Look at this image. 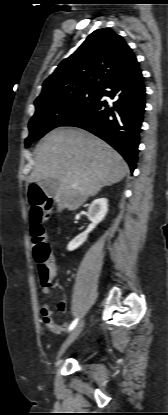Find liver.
Returning <instances> with one entry per match:
<instances>
[{
	"instance_id": "1",
	"label": "liver",
	"mask_w": 168,
	"mask_h": 415,
	"mask_svg": "<svg viewBox=\"0 0 168 415\" xmlns=\"http://www.w3.org/2000/svg\"><path fill=\"white\" fill-rule=\"evenodd\" d=\"M128 172L122 156L103 140L80 128L59 127L37 145L35 167L28 181L57 178L58 204L76 210L101 188L120 182Z\"/></svg>"
}]
</instances>
